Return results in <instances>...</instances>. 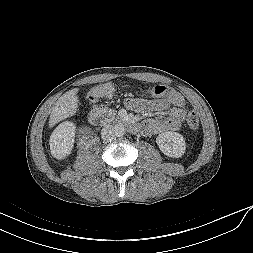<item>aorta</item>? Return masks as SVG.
<instances>
[{"label":"aorta","mask_w":253,"mask_h":253,"mask_svg":"<svg viewBox=\"0 0 253 253\" xmlns=\"http://www.w3.org/2000/svg\"><path fill=\"white\" fill-rule=\"evenodd\" d=\"M125 133V127L122 124H118L114 126V134L116 137H121Z\"/></svg>","instance_id":"762f6f07"}]
</instances>
